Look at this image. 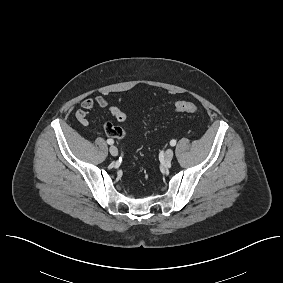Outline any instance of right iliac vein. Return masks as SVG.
Segmentation results:
<instances>
[{"mask_svg": "<svg viewBox=\"0 0 283 283\" xmlns=\"http://www.w3.org/2000/svg\"><path fill=\"white\" fill-rule=\"evenodd\" d=\"M109 152H110V154H111L112 156H117V155H118V149H117V147H115V146H111V147L109 148Z\"/></svg>", "mask_w": 283, "mask_h": 283, "instance_id": "63e3f726", "label": "right iliac vein"}]
</instances>
